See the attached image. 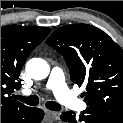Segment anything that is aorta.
<instances>
[{
  "mask_svg": "<svg viewBox=\"0 0 123 123\" xmlns=\"http://www.w3.org/2000/svg\"><path fill=\"white\" fill-rule=\"evenodd\" d=\"M26 72L32 79H45L50 72L48 63L41 58H32L26 64Z\"/></svg>",
  "mask_w": 123,
  "mask_h": 123,
  "instance_id": "obj_1",
  "label": "aorta"
}]
</instances>
